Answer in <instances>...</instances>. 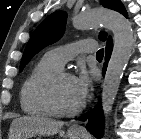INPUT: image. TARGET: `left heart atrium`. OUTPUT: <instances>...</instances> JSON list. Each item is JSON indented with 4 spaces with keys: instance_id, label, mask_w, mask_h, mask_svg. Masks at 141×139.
<instances>
[{
    "instance_id": "1",
    "label": "left heart atrium",
    "mask_w": 141,
    "mask_h": 139,
    "mask_svg": "<svg viewBox=\"0 0 141 139\" xmlns=\"http://www.w3.org/2000/svg\"><path fill=\"white\" fill-rule=\"evenodd\" d=\"M73 79L77 95L79 99L83 101L88 95L91 87V75L86 70H81L77 76L73 77Z\"/></svg>"
}]
</instances>
